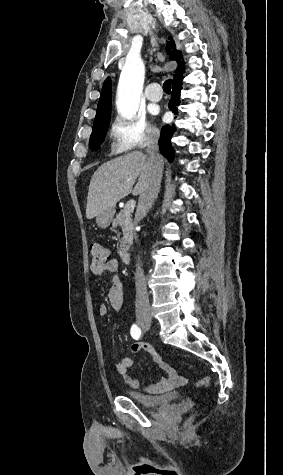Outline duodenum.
Wrapping results in <instances>:
<instances>
[{
  "label": "duodenum",
  "instance_id": "1",
  "mask_svg": "<svg viewBox=\"0 0 283 475\" xmlns=\"http://www.w3.org/2000/svg\"><path fill=\"white\" fill-rule=\"evenodd\" d=\"M121 260L123 263H129L131 260V254L128 251H123L121 253Z\"/></svg>",
  "mask_w": 283,
  "mask_h": 475
}]
</instances>
